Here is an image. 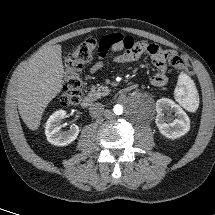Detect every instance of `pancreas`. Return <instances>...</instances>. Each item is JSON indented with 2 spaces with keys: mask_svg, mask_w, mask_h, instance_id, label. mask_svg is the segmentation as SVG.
I'll use <instances>...</instances> for the list:
<instances>
[{
  "mask_svg": "<svg viewBox=\"0 0 215 215\" xmlns=\"http://www.w3.org/2000/svg\"><path fill=\"white\" fill-rule=\"evenodd\" d=\"M110 92L107 86L95 85L91 87L90 95L100 98L101 96H106Z\"/></svg>",
  "mask_w": 215,
  "mask_h": 215,
  "instance_id": "1",
  "label": "pancreas"
}]
</instances>
